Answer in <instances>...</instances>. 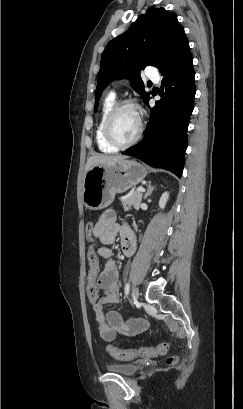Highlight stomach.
<instances>
[{"mask_svg": "<svg viewBox=\"0 0 243 409\" xmlns=\"http://www.w3.org/2000/svg\"><path fill=\"white\" fill-rule=\"evenodd\" d=\"M147 169L135 160L123 159L111 165H96L85 172L82 201L90 210L108 207L115 195L139 184Z\"/></svg>", "mask_w": 243, "mask_h": 409, "instance_id": "obj_1", "label": "stomach"}]
</instances>
